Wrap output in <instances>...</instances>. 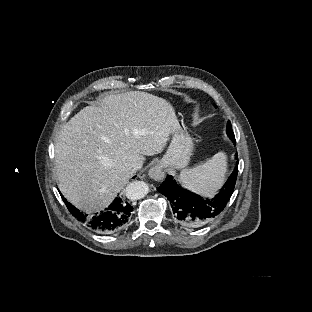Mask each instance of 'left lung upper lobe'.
Instances as JSON below:
<instances>
[{
	"label": "left lung upper lobe",
	"mask_w": 312,
	"mask_h": 312,
	"mask_svg": "<svg viewBox=\"0 0 312 312\" xmlns=\"http://www.w3.org/2000/svg\"><path fill=\"white\" fill-rule=\"evenodd\" d=\"M227 132H228L229 137H230L232 140H235V136H234V133H233V131H232V126H231L230 121H228V123H227Z\"/></svg>",
	"instance_id": "obj_1"
}]
</instances>
